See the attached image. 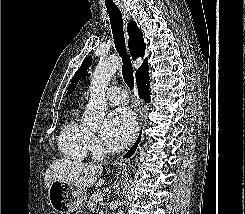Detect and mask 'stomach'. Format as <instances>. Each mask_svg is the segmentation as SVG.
Returning a JSON list of instances; mask_svg holds the SVG:
<instances>
[{"mask_svg":"<svg viewBox=\"0 0 245 214\" xmlns=\"http://www.w3.org/2000/svg\"><path fill=\"white\" fill-rule=\"evenodd\" d=\"M48 197L50 205L55 211L61 214H70L86 205L87 190L54 180L48 189Z\"/></svg>","mask_w":245,"mask_h":214,"instance_id":"stomach-1","label":"stomach"}]
</instances>
